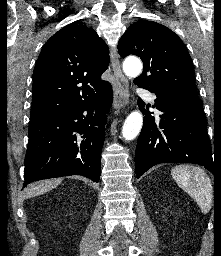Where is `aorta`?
Wrapping results in <instances>:
<instances>
[{
	"label": "aorta",
	"instance_id": "762f6f07",
	"mask_svg": "<svg viewBox=\"0 0 221 256\" xmlns=\"http://www.w3.org/2000/svg\"><path fill=\"white\" fill-rule=\"evenodd\" d=\"M123 70L129 77H136L141 73L142 63L139 59L126 60L123 64ZM143 124V117L139 111L131 112L126 118L122 135L125 140H133L140 132Z\"/></svg>",
	"mask_w": 221,
	"mask_h": 256
}]
</instances>
